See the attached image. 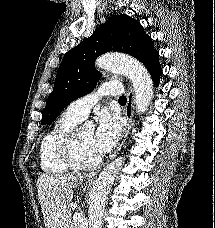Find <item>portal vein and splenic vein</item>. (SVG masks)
<instances>
[{
  "label": "portal vein and splenic vein",
  "mask_w": 215,
  "mask_h": 228,
  "mask_svg": "<svg viewBox=\"0 0 215 228\" xmlns=\"http://www.w3.org/2000/svg\"><path fill=\"white\" fill-rule=\"evenodd\" d=\"M73 220H75V222H81L82 216H80V214H74Z\"/></svg>",
  "instance_id": "18ae733b"
}]
</instances>
